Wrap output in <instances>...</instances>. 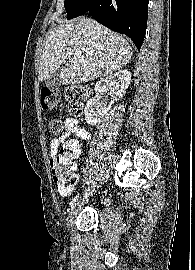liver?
Masks as SVG:
<instances>
[{
  "label": "liver",
  "instance_id": "1",
  "mask_svg": "<svg viewBox=\"0 0 195 270\" xmlns=\"http://www.w3.org/2000/svg\"><path fill=\"white\" fill-rule=\"evenodd\" d=\"M131 56V47L125 38L92 19L81 17L48 33L38 80L45 81L62 66L61 84L86 83L120 70Z\"/></svg>",
  "mask_w": 195,
  "mask_h": 270
}]
</instances>
